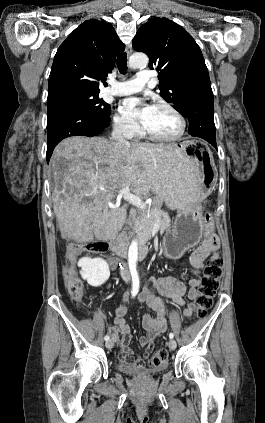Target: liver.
Masks as SVG:
<instances>
[{"label":"liver","instance_id":"obj_1","mask_svg":"<svg viewBox=\"0 0 265 423\" xmlns=\"http://www.w3.org/2000/svg\"><path fill=\"white\" fill-rule=\"evenodd\" d=\"M52 167L57 179L53 209L61 236L77 242L117 234L127 210L110 203L124 187L136 196L151 191L171 209L179 210L188 198L190 174L183 158L162 143L123 145L102 137H70L55 148Z\"/></svg>","mask_w":265,"mask_h":423}]
</instances>
